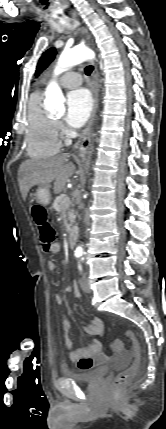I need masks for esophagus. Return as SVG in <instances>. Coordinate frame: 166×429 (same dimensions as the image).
Instances as JSON below:
<instances>
[{
    "label": "esophagus",
    "mask_w": 166,
    "mask_h": 429,
    "mask_svg": "<svg viewBox=\"0 0 166 429\" xmlns=\"http://www.w3.org/2000/svg\"><path fill=\"white\" fill-rule=\"evenodd\" d=\"M77 16H78L77 12L72 13L73 19H76ZM83 33H85L88 37H90L88 35L87 28H83ZM91 90H92V94H93V108H92V112H91L90 118L88 120V123H87L86 127L84 128V130L82 131V134L78 140L79 145L87 139V137L90 133L91 127L93 125L95 113H96V109H97L98 71H97L96 66L94 67L93 72H92Z\"/></svg>",
    "instance_id": "esophagus-1"
}]
</instances>
